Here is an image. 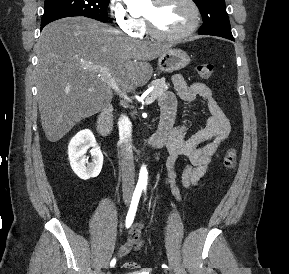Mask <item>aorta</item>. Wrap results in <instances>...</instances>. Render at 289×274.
I'll list each match as a JSON object with an SVG mask.
<instances>
[{"label":"aorta","instance_id":"762f6f07","mask_svg":"<svg viewBox=\"0 0 289 274\" xmlns=\"http://www.w3.org/2000/svg\"><path fill=\"white\" fill-rule=\"evenodd\" d=\"M148 0H124V2L130 7L140 8L142 7ZM139 184L145 185L147 183V170L146 167L143 166L140 170L139 174Z\"/></svg>","mask_w":289,"mask_h":274}]
</instances>
